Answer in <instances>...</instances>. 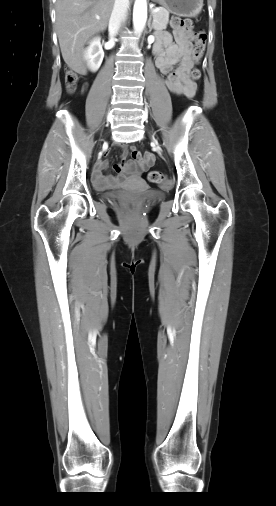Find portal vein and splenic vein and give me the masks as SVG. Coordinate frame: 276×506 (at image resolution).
<instances>
[{"label": "portal vein and splenic vein", "instance_id": "1", "mask_svg": "<svg viewBox=\"0 0 276 506\" xmlns=\"http://www.w3.org/2000/svg\"><path fill=\"white\" fill-rule=\"evenodd\" d=\"M157 11H159V8H155V9H153V11H152V12H153V13H155V12H157ZM98 19H99V18H98Z\"/></svg>", "mask_w": 276, "mask_h": 506}]
</instances>
